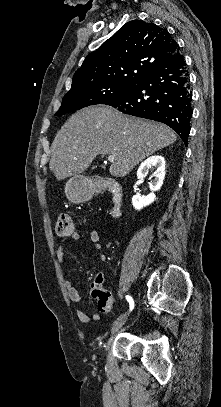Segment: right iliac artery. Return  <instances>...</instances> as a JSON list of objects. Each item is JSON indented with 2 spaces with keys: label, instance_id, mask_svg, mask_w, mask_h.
Here are the masks:
<instances>
[{
  "label": "right iliac artery",
  "instance_id": "82829eb1",
  "mask_svg": "<svg viewBox=\"0 0 221 407\" xmlns=\"http://www.w3.org/2000/svg\"><path fill=\"white\" fill-rule=\"evenodd\" d=\"M126 299H127V301L129 302V304H130V310H132L133 308H134V301H133V299H132V297H130V296H126Z\"/></svg>",
  "mask_w": 221,
  "mask_h": 407
}]
</instances>
